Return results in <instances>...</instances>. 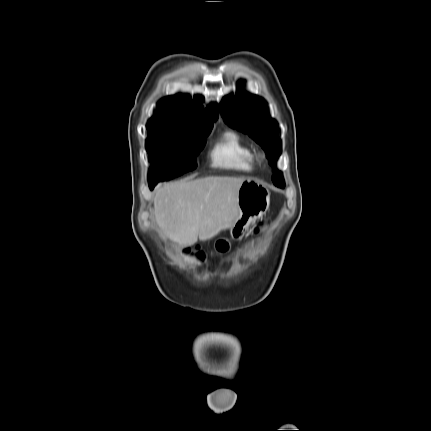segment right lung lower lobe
<instances>
[{
    "instance_id": "1",
    "label": "right lung lower lobe",
    "mask_w": 431,
    "mask_h": 431,
    "mask_svg": "<svg viewBox=\"0 0 431 431\" xmlns=\"http://www.w3.org/2000/svg\"><path fill=\"white\" fill-rule=\"evenodd\" d=\"M155 185H156V183L149 182V187L151 190L154 188Z\"/></svg>"
}]
</instances>
